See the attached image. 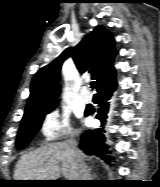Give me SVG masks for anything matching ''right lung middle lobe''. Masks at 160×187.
Returning a JSON list of instances; mask_svg holds the SVG:
<instances>
[{
    "instance_id": "1",
    "label": "right lung middle lobe",
    "mask_w": 160,
    "mask_h": 187,
    "mask_svg": "<svg viewBox=\"0 0 160 187\" xmlns=\"http://www.w3.org/2000/svg\"><path fill=\"white\" fill-rule=\"evenodd\" d=\"M55 106L56 105L44 110L24 114L16 140L17 149L25 148L28 145L36 132L40 129L45 115L50 113Z\"/></svg>"
}]
</instances>
